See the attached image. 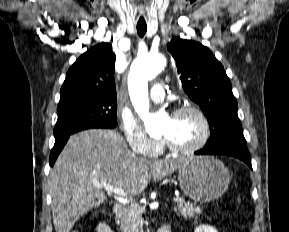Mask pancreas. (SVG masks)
I'll use <instances>...</instances> for the list:
<instances>
[{
	"label": "pancreas",
	"mask_w": 289,
	"mask_h": 232,
	"mask_svg": "<svg viewBox=\"0 0 289 232\" xmlns=\"http://www.w3.org/2000/svg\"><path fill=\"white\" fill-rule=\"evenodd\" d=\"M174 211H178V214L187 219V217H195L196 214H200L201 208L191 203L182 202L177 204ZM143 212V208L138 205H131L126 208L120 219V229L123 232H143Z\"/></svg>",
	"instance_id": "obj_1"
}]
</instances>
